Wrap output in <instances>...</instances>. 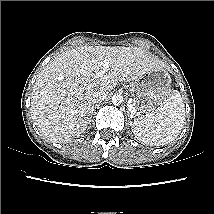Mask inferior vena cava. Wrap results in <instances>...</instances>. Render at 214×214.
<instances>
[{
	"instance_id": "602c4592",
	"label": "inferior vena cava",
	"mask_w": 214,
	"mask_h": 214,
	"mask_svg": "<svg viewBox=\"0 0 214 214\" xmlns=\"http://www.w3.org/2000/svg\"><path fill=\"white\" fill-rule=\"evenodd\" d=\"M107 95H108V92L103 89L94 91L90 96V101L92 104L102 102L107 98Z\"/></svg>"
}]
</instances>
